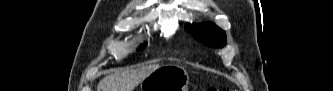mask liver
<instances>
[{
	"mask_svg": "<svg viewBox=\"0 0 333 91\" xmlns=\"http://www.w3.org/2000/svg\"><path fill=\"white\" fill-rule=\"evenodd\" d=\"M159 67V64H152L115 72L99 82L97 91H133L143 79Z\"/></svg>",
	"mask_w": 333,
	"mask_h": 91,
	"instance_id": "6515ba94",
	"label": "liver"
}]
</instances>
